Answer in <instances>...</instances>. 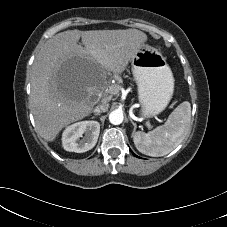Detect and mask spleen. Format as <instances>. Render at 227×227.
Here are the masks:
<instances>
[{"mask_svg": "<svg viewBox=\"0 0 227 227\" xmlns=\"http://www.w3.org/2000/svg\"><path fill=\"white\" fill-rule=\"evenodd\" d=\"M191 105L182 102L169 115L164 125L158 126L148 133L133 132L135 147L142 154L161 157L170 153L185 138L190 129Z\"/></svg>", "mask_w": 227, "mask_h": 227, "instance_id": "3e777b00", "label": "spleen"}]
</instances>
